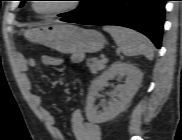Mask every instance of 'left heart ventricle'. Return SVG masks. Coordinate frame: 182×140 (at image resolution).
Wrapping results in <instances>:
<instances>
[{
    "label": "left heart ventricle",
    "mask_w": 182,
    "mask_h": 140,
    "mask_svg": "<svg viewBox=\"0 0 182 140\" xmlns=\"http://www.w3.org/2000/svg\"><path fill=\"white\" fill-rule=\"evenodd\" d=\"M68 2L64 1H47L37 4V8L42 13H47L55 10H59L68 6Z\"/></svg>",
    "instance_id": "b2bd125f"
}]
</instances>
